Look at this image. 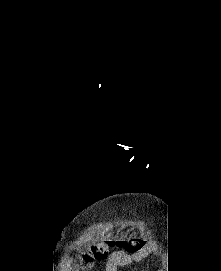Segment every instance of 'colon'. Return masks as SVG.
<instances>
[{
	"mask_svg": "<svg viewBox=\"0 0 221 271\" xmlns=\"http://www.w3.org/2000/svg\"><path fill=\"white\" fill-rule=\"evenodd\" d=\"M143 244V239L136 234L118 235V238L115 240L108 239L105 242H94L86 252L83 264L85 267H90L94 262L103 259L115 246L129 252H135L141 249Z\"/></svg>",
	"mask_w": 221,
	"mask_h": 271,
	"instance_id": "1",
	"label": "colon"
}]
</instances>
